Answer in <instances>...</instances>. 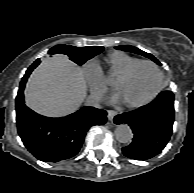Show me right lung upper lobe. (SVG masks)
Here are the masks:
<instances>
[{"label": "right lung upper lobe", "instance_id": "right-lung-upper-lobe-1", "mask_svg": "<svg viewBox=\"0 0 194 193\" xmlns=\"http://www.w3.org/2000/svg\"><path fill=\"white\" fill-rule=\"evenodd\" d=\"M94 47V46H93ZM85 48H89V47H85ZM49 54H53L51 51H49ZM40 61L39 59H37L27 70L26 74L24 75V77L22 78V81L24 78L29 77L30 73L39 65Z\"/></svg>", "mask_w": 194, "mask_h": 193}]
</instances>
